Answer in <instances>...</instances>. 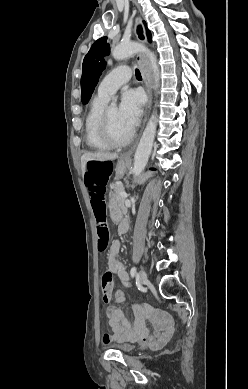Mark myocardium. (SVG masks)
Instances as JSON below:
<instances>
[{
    "mask_svg": "<svg viewBox=\"0 0 248 389\" xmlns=\"http://www.w3.org/2000/svg\"><path fill=\"white\" fill-rule=\"evenodd\" d=\"M100 134L105 142H107L112 147H122L131 142L134 137V131L131 132L125 138H117L111 128V121L109 116V107H105L100 126Z\"/></svg>",
    "mask_w": 248,
    "mask_h": 389,
    "instance_id": "1",
    "label": "myocardium"
}]
</instances>
